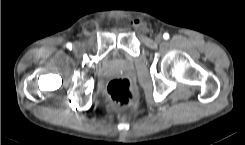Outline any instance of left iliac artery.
Masks as SVG:
<instances>
[{
    "instance_id": "left-iliac-artery-1",
    "label": "left iliac artery",
    "mask_w": 245,
    "mask_h": 145,
    "mask_svg": "<svg viewBox=\"0 0 245 145\" xmlns=\"http://www.w3.org/2000/svg\"><path fill=\"white\" fill-rule=\"evenodd\" d=\"M163 38L164 39H168L169 38V34L168 33H164Z\"/></svg>"
}]
</instances>
